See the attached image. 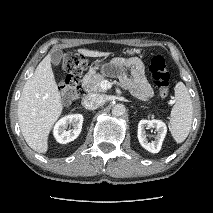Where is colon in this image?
Returning a JSON list of instances; mask_svg holds the SVG:
<instances>
[{
  "label": "colon",
  "instance_id": "1",
  "mask_svg": "<svg viewBox=\"0 0 213 213\" xmlns=\"http://www.w3.org/2000/svg\"><path fill=\"white\" fill-rule=\"evenodd\" d=\"M62 67L67 74L60 84V93L64 104L69 105L78 100L83 94L82 75L88 68V62L79 54H66ZM149 71L161 97L166 98L170 91V75L165 59L154 55L150 59Z\"/></svg>",
  "mask_w": 213,
  "mask_h": 213
}]
</instances>
